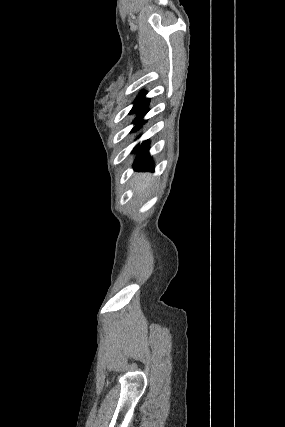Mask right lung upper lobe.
Returning a JSON list of instances; mask_svg holds the SVG:
<instances>
[{
    "instance_id": "right-lung-upper-lobe-1",
    "label": "right lung upper lobe",
    "mask_w": 285,
    "mask_h": 427,
    "mask_svg": "<svg viewBox=\"0 0 285 427\" xmlns=\"http://www.w3.org/2000/svg\"><path fill=\"white\" fill-rule=\"evenodd\" d=\"M146 92H142L137 99L134 101V107L130 111V113L137 112L139 113V116H144L148 112V104L149 100L148 98H145Z\"/></svg>"
}]
</instances>
